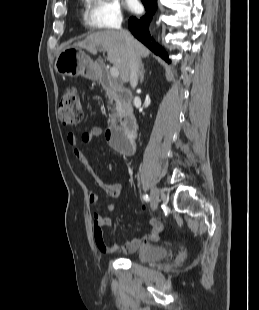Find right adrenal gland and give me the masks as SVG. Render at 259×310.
<instances>
[{
    "mask_svg": "<svg viewBox=\"0 0 259 310\" xmlns=\"http://www.w3.org/2000/svg\"><path fill=\"white\" fill-rule=\"evenodd\" d=\"M144 75H145V69H144V64L141 65V71H140V84H142L144 80Z\"/></svg>",
    "mask_w": 259,
    "mask_h": 310,
    "instance_id": "2a0ac1e0",
    "label": "right adrenal gland"
}]
</instances>
